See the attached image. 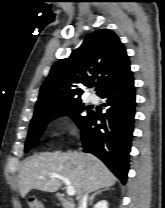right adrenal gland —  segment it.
Returning <instances> with one entry per match:
<instances>
[{
	"mask_svg": "<svg viewBox=\"0 0 165 208\" xmlns=\"http://www.w3.org/2000/svg\"><path fill=\"white\" fill-rule=\"evenodd\" d=\"M107 190H109V188H104V189H101V190L96 191V192L90 197V199H89V205H92L93 200H94V198H95L96 195L101 194L102 192L107 191Z\"/></svg>",
	"mask_w": 165,
	"mask_h": 208,
	"instance_id": "1",
	"label": "right adrenal gland"
}]
</instances>
